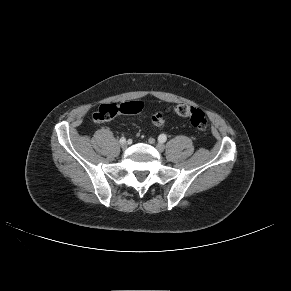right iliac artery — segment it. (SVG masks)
<instances>
[{"instance_id": "1", "label": "right iliac artery", "mask_w": 291, "mask_h": 291, "mask_svg": "<svg viewBox=\"0 0 291 291\" xmlns=\"http://www.w3.org/2000/svg\"><path fill=\"white\" fill-rule=\"evenodd\" d=\"M124 142H126V139H125L124 137H122V138L120 139V143L122 144V143H124Z\"/></svg>"}]
</instances>
